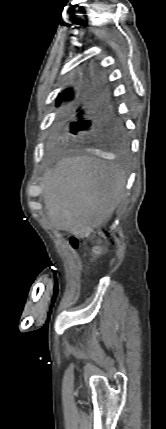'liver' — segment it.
Listing matches in <instances>:
<instances>
[{
	"instance_id": "1",
	"label": "liver",
	"mask_w": 166,
	"mask_h": 429,
	"mask_svg": "<svg viewBox=\"0 0 166 429\" xmlns=\"http://www.w3.org/2000/svg\"><path fill=\"white\" fill-rule=\"evenodd\" d=\"M46 214L53 227L88 237L103 226L125 194L117 165L89 156L61 159L41 178Z\"/></svg>"
}]
</instances>
